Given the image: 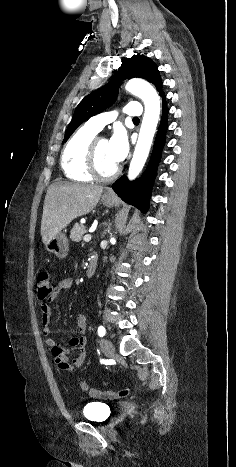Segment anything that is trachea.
Returning a JSON list of instances; mask_svg holds the SVG:
<instances>
[{
	"mask_svg": "<svg viewBox=\"0 0 236 467\" xmlns=\"http://www.w3.org/2000/svg\"><path fill=\"white\" fill-rule=\"evenodd\" d=\"M133 121H139L138 117L133 118Z\"/></svg>",
	"mask_w": 236,
	"mask_h": 467,
	"instance_id": "trachea-1",
	"label": "trachea"
}]
</instances>
